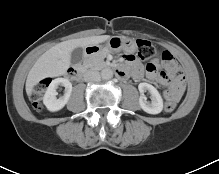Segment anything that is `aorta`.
<instances>
[{
  "mask_svg": "<svg viewBox=\"0 0 219 174\" xmlns=\"http://www.w3.org/2000/svg\"><path fill=\"white\" fill-rule=\"evenodd\" d=\"M101 77L104 80H109L113 77V71L110 68H105L101 71Z\"/></svg>",
  "mask_w": 219,
  "mask_h": 174,
  "instance_id": "762f6f07",
  "label": "aorta"
}]
</instances>
